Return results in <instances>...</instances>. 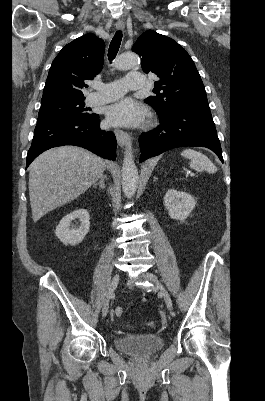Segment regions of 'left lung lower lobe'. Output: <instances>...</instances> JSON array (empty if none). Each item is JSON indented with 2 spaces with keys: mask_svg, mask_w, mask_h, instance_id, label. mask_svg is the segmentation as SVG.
Wrapping results in <instances>:
<instances>
[{
  "mask_svg": "<svg viewBox=\"0 0 265 401\" xmlns=\"http://www.w3.org/2000/svg\"><path fill=\"white\" fill-rule=\"evenodd\" d=\"M160 125L139 137L140 162L167 150L202 146L214 151L223 162L220 141L209 107L188 106L159 114Z\"/></svg>",
  "mask_w": 265,
  "mask_h": 401,
  "instance_id": "left-lung-lower-lobe-1",
  "label": "left lung lower lobe"
}]
</instances>
